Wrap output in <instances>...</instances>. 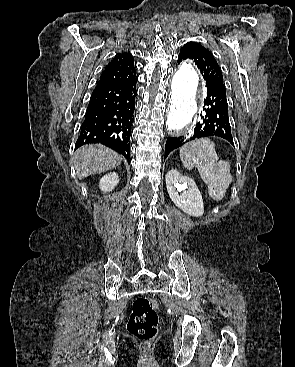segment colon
Wrapping results in <instances>:
<instances>
[{
  "instance_id": "1",
  "label": "colon",
  "mask_w": 295,
  "mask_h": 367,
  "mask_svg": "<svg viewBox=\"0 0 295 367\" xmlns=\"http://www.w3.org/2000/svg\"><path fill=\"white\" fill-rule=\"evenodd\" d=\"M158 302L148 296L138 297L132 305V312L127 323L130 334L143 342H150L158 329Z\"/></svg>"
}]
</instances>
